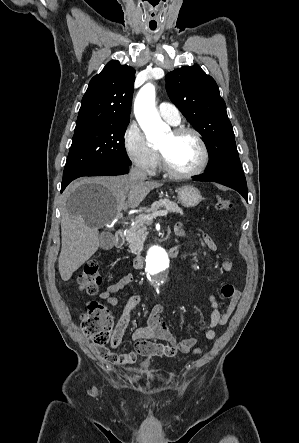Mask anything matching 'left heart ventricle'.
I'll use <instances>...</instances> for the list:
<instances>
[{
	"label": "left heart ventricle",
	"mask_w": 299,
	"mask_h": 443,
	"mask_svg": "<svg viewBox=\"0 0 299 443\" xmlns=\"http://www.w3.org/2000/svg\"><path fill=\"white\" fill-rule=\"evenodd\" d=\"M168 164L176 171L187 172L194 169L201 157L200 147L191 134L174 136L170 132L159 144Z\"/></svg>",
	"instance_id": "1"
}]
</instances>
